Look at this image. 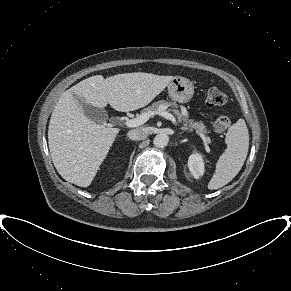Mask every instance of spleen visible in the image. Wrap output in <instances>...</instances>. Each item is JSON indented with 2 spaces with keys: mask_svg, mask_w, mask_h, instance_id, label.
Here are the masks:
<instances>
[{
  "mask_svg": "<svg viewBox=\"0 0 291 291\" xmlns=\"http://www.w3.org/2000/svg\"><path fill=\"white\" fill-rule=\"evenodd\" d=\"M227 149L220 156L208 189L216 190L228 184L241 170L249 149V134L244 119H239L227 131Z\"/></svg>",
  "mask_w": 291,
  "mask_h": 291,
  "instance_id": "3e777b00",
  "label": "spleen"
}]
</instances>
